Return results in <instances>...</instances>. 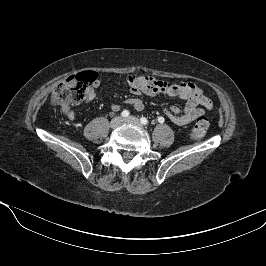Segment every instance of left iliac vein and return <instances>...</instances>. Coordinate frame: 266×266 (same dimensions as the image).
I'll use <instances>...</instances> for the list:
<instances>
[{
	"label": "left iliac vein",
	"mask_w": 266,
	"mask_h": 266,
	"mask_svg": "<svg viewBox=\"0 0 266 266\" xmlns=\"http://www.w3.org/2000/svg\"><path fill=\"white\" fill-rule=\"evenodd\" d=\"M124 121L127 122V123H132V124L141 126V122L139 121V119H137L134 116H130L128 118H125Z\"/></svg>",
	"instance_id": "obj_1"
}]
</instances>
